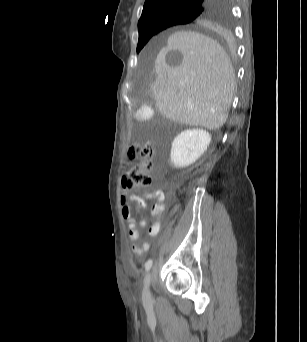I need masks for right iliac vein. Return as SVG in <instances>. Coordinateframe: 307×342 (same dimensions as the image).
Here are the masks:
<instances>
[{
	"label": "right iliac vein",
	"instance_id": "right-iliac-vein-1",
	"mask_svg": "<svg viewBox=\"0 0 307 342\" xmlns=\"http://www.w3.org/2000/svg\"><path fill=\"white\" fill-rule=\"evenodd\" d=\"M151 279H152L151 272H148L144 279L143 299H147L150 296Z\"/></svg>",
	"mask_w": 307,
	"mask_h": 342
}]
</instances>
